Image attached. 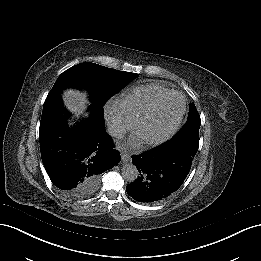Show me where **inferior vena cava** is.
<instances>
[{"label": "inferior vena cava", "instance_id": "1", "mask_svg": "<svg viewBox=\"0 0 261 261\" xmlns=\"http://www.w3.org/2000/svg\"><path fill=\"white\" fill-rule=\"evenodd\" d=\"M106 132L113 138L122 139L126 134V129L121 123L117 121L107 120Z\"/></svg>", "mask_w": 261, "mask_h": 261}]
</instances>
